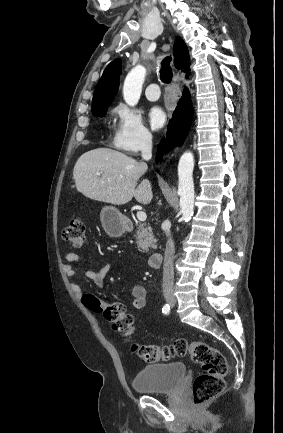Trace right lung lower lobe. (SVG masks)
<instances>
[{
  "label": "right lung lower lobe",
  "mask_w": 283,
  "mask_h": 433,
  "mask_svg": "<svg viewBox=\"0 0 283 433\" xmlns=\"http://www.w3.org/2000/svg\"><path fill=\"white\" fill-rule=\"evenodd\" d=\"M193 115V108L190 94L187 89L184 90L183 96L173 113L170 121L166 139H163L158 146L156 161L162 159V155L175 145H181L189 130Z\"/></svg>",
  "instance_id": "98d812e1"
}]
</instances>
